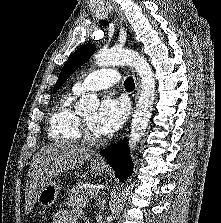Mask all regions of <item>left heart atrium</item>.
I'll return each instance as SVG.
<instances>
[{
	"label": "left heart atrium",
	"mask_w": 221,
	"mask_h": 223,
	"mask_svg": "<svg viewBox=\"0 0 221 223\" xmlns=\"http://www.w3.org/2000/svg\"><path fill=\"white\" fill-rule=\"evenodd\" d=\"M126 102L119 98L108 96L102 101L95 123L100 134H111L117 131L127 116Z\"/></svg>",
	"instance_id": "39dd6f15"
}]
</instances>
